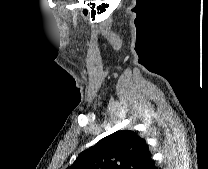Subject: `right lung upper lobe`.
<instances>
[{
    "instance_id": "obj_1",
    "label": "right lung upper lobe",
    "mask_w": 208,
    "mask_h": 169,
    "mask_svg": "<svg viewBox=\"0 0 208 169\" xmlns=\"http://www.w3.org/2000/svg\"><path fill=\"white\" fill-rule=\"evenodd\" d=\"M151 161L146 141L120 130L84 150L67 169H145Z\"/></svg>"
}]
</instances>
